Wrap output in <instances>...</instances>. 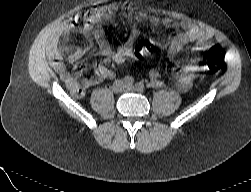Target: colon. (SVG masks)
<instances>
[{"label": "colon", "instance_id": "colon-1", "mask_svg": "<svg viewBox=\"0 0 251 192\" xmlns=\"http://www.w3.org/2000/svg\"><path fill=\"white\" fill-rule=\"evenodd\" d=\"M145 50L146 47H143L138 44H135L132 48V52L136 56L142 55ZM223 64L224 59L219 52L209 51L206 55V60L203 65V68L212 73H219L223 68Z\"/></svg>", "mask_w": 251, "mask_h": 192}]
</instances>
